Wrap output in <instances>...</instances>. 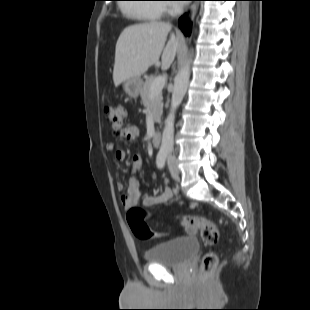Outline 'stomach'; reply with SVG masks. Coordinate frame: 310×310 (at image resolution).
Segmentation results:
<instances>
[{
    "label": "stomach",
    "instance_id": "0dacf381",
    "mask_svg": "<svg viewBox=\"0 0 310 310\" xmlns=\"http://www.w3.org/2000/svg\"><path fill=\"white\" fill-rule=\"evenodd\" d=\"M124 91L132 98H136L142 89V80L140 77L130 78L123 81Z\"/></svg>",
    "mask_w": 310,
    "mask_h": 310
}]
</instances>
